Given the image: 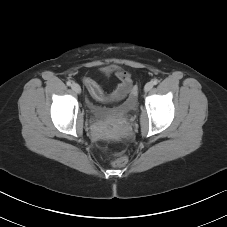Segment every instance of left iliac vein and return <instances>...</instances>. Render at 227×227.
Returning a JSON list of instances; mask_svg holds the SVG:
<instances>
[{"instance_id":"4c4485c4","label":"left iliac vein","mask_w":227,"mask_h":227,"mask_svg":"<svg viewBox=\"0 0 227 227\" xmlns=\"http://www.w3.org/2000/svg\"><path fill=\"white\" fill-rule=\"evenodd\" d=\"M152 87H153V83H152V82H148V83L145 85V87H144L145 92L150 91V90L152 89Z\"/></svg>"}]
</instances>
